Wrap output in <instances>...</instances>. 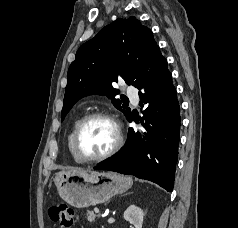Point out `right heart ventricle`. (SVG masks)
Listing matches in <instances>:
<instances>
[{"instance_id": "1", "label": "right heart ventricle", "mask_w": 238, "mask_h": 228, "mask_svg": "<svg viewBox=\"0 0 238 228\" xmlns=\"http://www.w3.org/2000/svg\"><path fill=\"white\" fill-rule=\"evenodd\" d=\"M82 118L81 117H77L73 122H72V125L70 127V130H69V133H68V136H67V147H68V150L73 158V160L77 163H81L74 155V152H73V136H74V132L76 130V127L78 125V123L80 122Z\"/></svg>"}]
</instances>
